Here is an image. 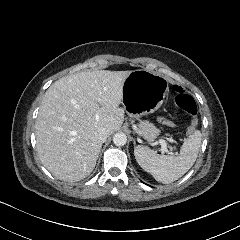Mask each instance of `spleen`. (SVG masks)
<instances>
[{
    "label": "spleen",
    "mask_w": 240,
    "mask_h": 240,
    "mask_svg": "<svg viewBox=\"0 0 240 240\" xmlns=\"http://www.w3.org/2000/svg\"><path fill=\"white\" fill-rule=\"evenodd\" d=\"M202 134L195 131L183 144L179 156H165L158 154L148 146L139 145L134 149L138 164L154 178L163 184H170L195 164L201 148Z\"/></svg>",
    "instance_id": "1"
}]
</instances>
